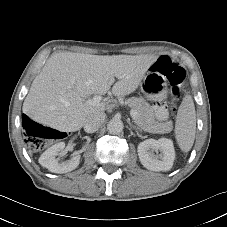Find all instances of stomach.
<instances>
[{
	"label": "stomach",
	"instance_id": "stomach-1",
	"mask_svg": "<svg viewBox=\"0 0 227 227\" xmlns=\"http://www.w3.org/2000/svg\"><path fill=\"white\" fill-rule=\"evenodd\" d=\"M142 93L151 101H162L166 98L168 88L165 77L157 72L150 70L144 76L140 84Z\"/></svg>",
	"mask_w": 227,
	"mask_h": 227
}]
</instances>
